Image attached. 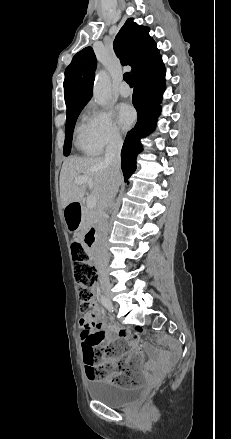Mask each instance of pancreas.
Here are the masks:
<instances>
[{"instance_id": "1", "label": "pancreas", "mask_w": 231, "mask_h": 439, "mask_svg": "<svg viewBox=\"0 0 231 439\" xmlns=\"http://www.w3.org/2000/svg\"><path fill=\"white\" fill-rule=\"evenodd\" d=\"M97 221V215L92 210L88 209L87 207L83 208V219H82V226L81 231H84L86 228H88L90 225L95 223Z\"/></svg>"}]
</instances>
